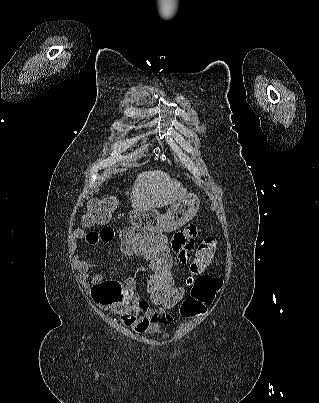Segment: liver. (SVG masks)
Here are the masks:
<instances>
[{"label": "liver", "mask_w": 319, "mask_h": 403, "mask_svg": "<svg viewBox=\"0 0 319 403\" xmlns=\"http://www.w3.org/2000/svg\"><path fill=\"white\" fill-rule=\"evenodd\" d=\"M187 189L161 170L138 174L130 196L133 209H153L174 204L187 196Z\"/></svg>", "instance_id": "1"}]
</instances>
